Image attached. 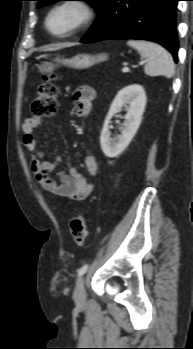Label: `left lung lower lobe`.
I'll list each match as a JSON object with an SVG mask.
<instances>
[{
	"label": "left lung lower lobe",
	"instance_id": "0a47b994",
	"mask_svg": "<svg viewBox=\"0 0 193 349\" xmlns=\"http://www.w3.org/2000/svg\"><path fill=\"white\" fill-rule=\"evenodd\" d=\"M179 0H107L82 43L144 39L167 48L177 62L176 6Z\"/></svg>",
	"mask_w": 193,
	"mask_h": 349
}]
</instances>
